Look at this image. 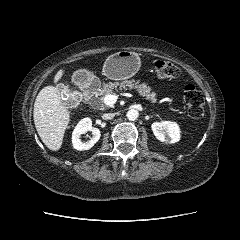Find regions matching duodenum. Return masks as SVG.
<instances>
[{
	"label": "duodenum",
	"mask_w": 240,
	"mask_h": 240,
	"mask_svg": "<svg viewBox=\"0 0 240 240\" xmlns=\"http://www.w3.org/2000/svg\"><path fill=\"white\" fill-rule=\"evenodd\" d=\"M82 87L84 89V98L88 100L97 92L99 84L95 79L86 78L82 83Z\"/></svg>",
	"instance_id": "1"
}]
</instances>
